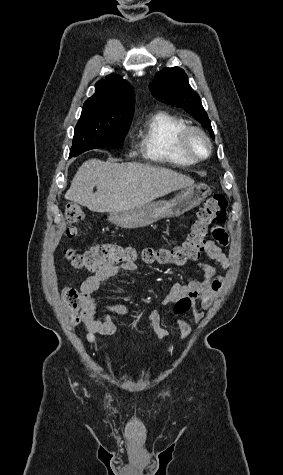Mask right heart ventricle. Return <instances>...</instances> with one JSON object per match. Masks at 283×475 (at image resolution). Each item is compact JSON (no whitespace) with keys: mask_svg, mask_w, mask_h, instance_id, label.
Returning a JSON list of instances; mask_svg holds the SVG:
<instances>
[{"mask_svg":"<svg viewBox=\"0 0 283 475\" xmlns=\"http://www.w3.org/2000/svg\"><path fill=\"white\" fill-rule=\"evenodd\" d=\"M187 126L188 123L183 117L167 110H159L138 122L134 132L143 156L149 160L168 162L161 156L162 147L168 145L167 151L169 147H173L175 149L174 155L180 157L182 162H195L184 157L173 146L176 137Z\"/></svg>","mask_w":283,"mask_h":475,"instance_id":"obj_1","label":"right heart ventricle"}]
</instances>
